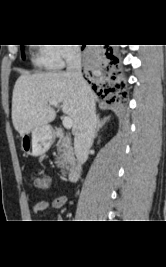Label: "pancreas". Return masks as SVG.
<instances>
[{
  "label": "pancreas",
  "mask_w": 166,
  "mask_h": 267,
  "mask_svg": "<svg viewBox=\"0 0 166 267\" xmlns=\"http://www.w3.org/2000/svg\"><path fill=\"white\" fill-rule=\"evenodd\" d=\"M58 156L56 158V164L61 168L62 175H66L67 171L74 165L75 158L69 137H61L57 144Z\"/></svg>",
  "instance_id": "pancreas-1"
}]
</instances>
